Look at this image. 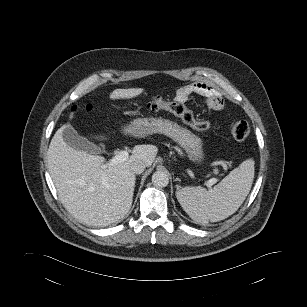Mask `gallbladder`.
Segmentation results:
<instances>
[{"instance_id": "obj_1", "label": "gallbladder", "mask_w": 307, "mask_h": 307, "mask_svg": "<svg viewBox=\"0 0 307 307\" xmlns=\"http://www.w3.org/2000/svg\"><path fill=\"white\" fill-rule=\"evenodd\" d=\"M62 136L64 141L76 150L85 151L89 154H100L102 149L90 142L87 138L80 136L71 125L63 127Z\"/></svg>"}]
</instances>
